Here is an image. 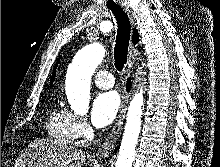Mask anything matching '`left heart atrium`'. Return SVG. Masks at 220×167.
Here are the masks:
<instances>
[{"instance_id": "39dd6f15", "label": "left heart atrium", "mask_w": 220, "mask_h": 167, "mask_svg": "<svg viewBox=\"0 0 220 167\" xmlns=\"http://www.w3.org/2000/svg\"><path fill=\"white\" fill-rule=\"evenodd\" d=\"M120 108V98L114 91L99 94L93 102L91 120L96 127H105L113 122Z\"/></svg>"}]
</instances>
